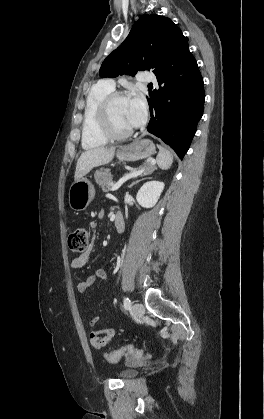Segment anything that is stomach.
<instances>
[{
    "instance_id": "obj_1",
    "label": "stomach",
    "mask_w": 264,
    "mask_h": 419,
    "mask_svg": "<svg viewBox=\"0 0 264 419\" xmlns=\"http://www.w3.org/2000/svg\"><path fill=\"white\" fill-rule=\"evenodd\" d=\"M155 153V145L151 140H137L128 146L121 147L117 152L120 161H136L150 157ZM95 195L93 184L87 178L72 183L69 188L68 202L74 211L84 210Z\"/></svg>"
}]
</instances>
